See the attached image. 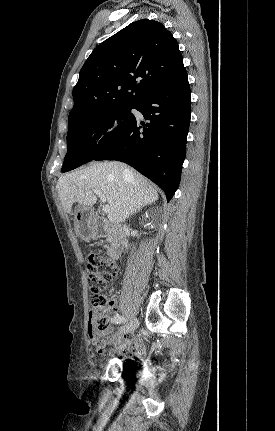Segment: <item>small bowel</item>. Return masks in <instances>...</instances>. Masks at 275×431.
Instances as JSON below:
<instances>
[{
    "instance_id": "1",
    "label": "small bowel",
    "mask_w": 275,
    "mask_h": 431,
    "mask_svg": "<svg viewBox=\"0 0 275 431\" xmlns=\"http://www.w3.org/2000/svg\"><path fill=\"white\" fill-rule=\"evenodd\" d=\"M93 312H90V317L92 316ZM112 332V328L109 326L104 331H96L92 325L89 327V338L91 342L101 351V349L104 348L106 339L110 336ZM114 347L118 351L126 352V353H132V354H138L142 344L139 339H130L126 337H119L116 339L114 343Z\"/></svg>"
}]
</instances>
